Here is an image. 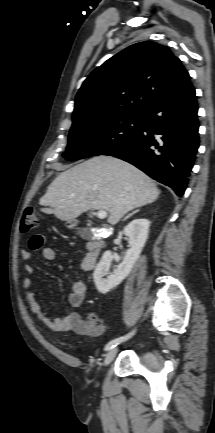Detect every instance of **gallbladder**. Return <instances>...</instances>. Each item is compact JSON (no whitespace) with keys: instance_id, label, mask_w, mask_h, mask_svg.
I'll return each mask as SVG.
<instances>
[{"instance_id":"1","label":"gallbladder","mask_w":215,"mask_h":433,"mask_svg":"<svg viewBox=\"0 0 215 433\" xmlns=\"http://www.w3.org/2000/svg\"><path fill=\"white\" fill-rule=\"evenodd\" d=\"M88 233H89V228L87 227L78 229V234L83 238H86Z\"/></svg>"}]
</instances>
